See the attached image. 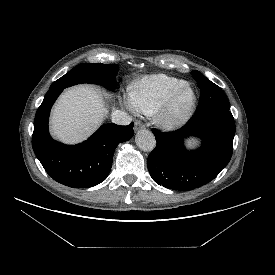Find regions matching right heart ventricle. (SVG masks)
<instances>
[{
	"label": "right heart ventricle",
	"mask_w": 275,
	"mask_h": 275,
	"mask_svg": "<svg viewBox=\"0 0 275 275\" xmlns=\"http://www.w3.org/2000/svg\"><path fill=\"white\" fill-rule=\"evenodd\" d=\"M185 81L165 74L148 75L131 90L135 109L146 115L155 113L166 98Z\"/></svg>",
	"instance_id": "1"
}]
</instances>
